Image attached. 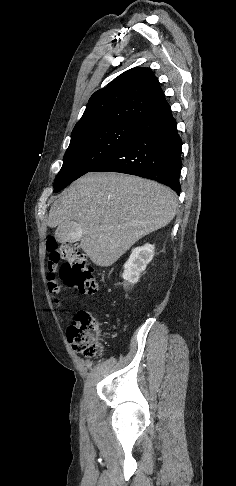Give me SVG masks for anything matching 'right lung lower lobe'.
I'll return each mask as SVG.
<instances>
[{"label":"right lung lower lobe","mask_w":236,"mask_h":486,"mask_svg":"<svg viewBox=\"0 0 236 486\" xmlns=\"http://www.w3.org/2000/svg\"><path fill=\"white\" fill-rule=\"evenodd\" d=\"M182 140L169 108L146 116L136 134L90 172H120L165 184L179 195Z\"/></svg>","instance_id":"98d812e1"}]
</instances>
